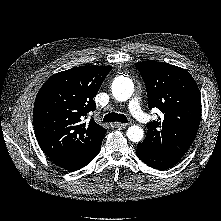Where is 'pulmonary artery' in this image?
<instances>
[{
    "label": "pulmonary artery",
    "mask_w": 221,
    "mask_h": 221,
    "mask_svg": "<svg viewBox=\"0 0 221 221\" xmlns=\"http://www.w3.org/2000/svg\"><path fill=\"white\" fill-rule=\"evenodd\" d=\"M128 109L130 110L131 114L140 122L145 123L148 121V116L143 112L140 106L139 98L134 97L128 103Z\"/></svg>",
    "instance_id": "1"
}]
</instances>
